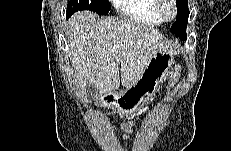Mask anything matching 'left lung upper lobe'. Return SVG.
<instances>
[{"mask_svg":"<svg viewBox=\"0 0 231 151\" xmlns=\"http://www.w3.org/2000/svg\"><path fill=\"white\" fill-rule=\"evenodd\" d=\"M176 5L178 8L177 18L170 31L180 39H183L186 37V27L189 17L188 0H176Z\"/></svg>","mask_w":231,"mask_h":151,"instance_id":"1","label":"left lung upper lobe"}]
</instances>
